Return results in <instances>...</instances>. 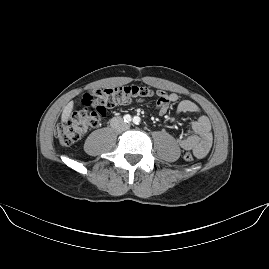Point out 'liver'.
Listing matches in <instances>:
<instances>
[{
	"mask_svg": "<svg viewBox=\"0 0 269 269\" xmlns=\"http://www.w3.org/2000/svg\"><path fill=\"white\" fill-rule=\"evenodd\" d=\"M72 108V102H69L66 107L63 110V114H62V118L65 119L66 117H68L70 111Z\"/></svg>",
	"mask_w": 269,
	"mask_h": 269,
	"instance_id": "6515ba94",
	"label": "liver"
}]
</instances>
